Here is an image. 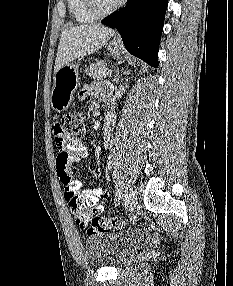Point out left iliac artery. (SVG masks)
<instances>
[{"mask_svg": "<svg viewBox=\"0 0 233 286\" xmlns=\"http://www.w3.org/2000/svg\"><path fill=\"white\" fill-rule=\"evenodd\" d=\"M117 193H116V199H115V202H116V205H118L120 203V200L123 196V192H122V187H120L119 185V188H117Z\"/></svg>", "mask_w": 233, "mask_h": 286, "instance_id": "left-iliac-artery-1", "label": "left iliac artery"}]
</instances>
